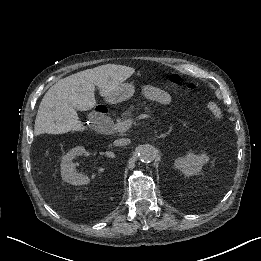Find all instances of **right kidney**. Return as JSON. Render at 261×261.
Listing matches in <instances>:
<instances>
[{
    "label": "right kidney",
    "instance_id": "1",
    "mask_svg": "<svg viewBox=\"0 0 261 261\" xmlns=\"http://www.w3.org/2000/svg\"><path fill=\"white\" fill-rule=\"evenodd\" d=\"M84 152V147H77L70 150L61 159L60 167L62 178L64 181L74 186H83L90 183V179L85 174H78L74 171V165L72 163L74 156L83 154Z\"/></svg>",
    "mask_w": 261,
    "mask_h": 261
}]
</instances>
